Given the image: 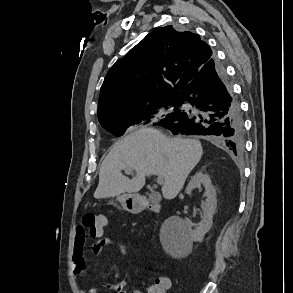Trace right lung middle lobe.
<instances>
[{"instance_id": "right-lung-middle-lobe-1", "label": "right lung middle lobe", "mask_w": 293, "mask_h": 293, "mask_svg": "<svg viewBox=\"0 0 293 293\" xmlns=\"http://www.w3.org/2000/svg\"><path fill=\"white\" fill-rule=\"evenodd\" d=\"M176 100H166L152 105L147 109L127 113V114H111L99 118V122L103 128L115 135H122L126 129L136 123L146 120H160L176 109ZM174 106L172 110L171 107Z\"/></svg>"}]
</instances>
